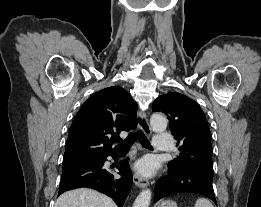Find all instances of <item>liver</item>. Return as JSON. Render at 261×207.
<instances>
[{"instance_id": "6515ba94", "label": "liver", "mask_w": 261, "mask_h": 207, "mask_svg": "<svg viewBox=\"0 0 261 207\" xmlns=\"http://www.w3.org/2000/svg\"><path fill=\"white\" fill-rule=\"evenodd\" d=\"M55 207H117L108 196L88 188L67 191L59 196Z\"/></svg>"}]
</instances>
